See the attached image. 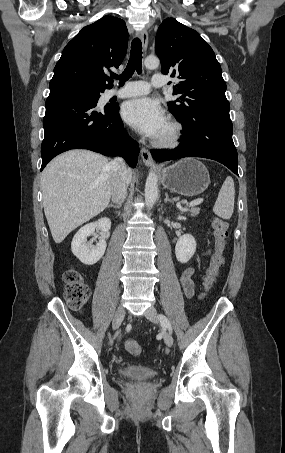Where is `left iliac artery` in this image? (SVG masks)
Masks as SVG:
<instances>
[{
    "label": "left iliac artery",
    "mask_w": 285,
    "mask_h": 453,
    "mask_svg": "<svg viewBox=\"0 0 285 453\" xmlns=\"http://www.w3.org/2000/svg\"><path fill=\"white\" fill-rule=\"evenodd\" d=\"M158 319L160 320V322H161V324H162L163 326H165L166 328H168V330H169L170 332H172L171 323H170V321L167 319L166 316H164L163 314H160V315L158 316Z\"/></svg>",
    "instance_id": "obj_1"
}]
</instances>
